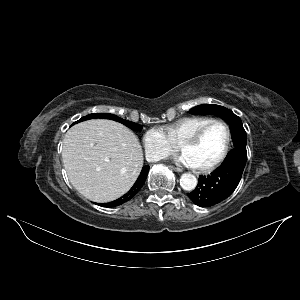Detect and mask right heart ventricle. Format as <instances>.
I'll list each match as a JSON object with an SVG mask.
<instances>
[{
    "mask_svg": "<svg viewBox=\"0 0 300 300\" xmlns=\"http://www.w3.org/2000/svg\"><path fill=\"white\" fill-rule=\"evenodd\" d=\"M213 120L209 117H185L171 124L163 126V130L176 146L181 145L197 129Z\"/></svg>",
    "mask_w": 300,
    "mask_h": 300,
    "instance_id": "obj_1",
    "label": "right heart ventricle"
}]
</instances>
